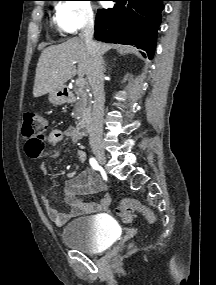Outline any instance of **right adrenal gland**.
<instances>
[{
    "label": "right adrenal gland",
    "mask_w": 216,
    "mask_h": 285,
    "mask_svg": "<svg viewBox=\"0 0 216 285\" xmlns=\"http://www.w3.org/2000/svg\"><path fill=\"white\" fill-rule=\"evenodd\" d=\"M104 70H106V64L105 61L103 62Z\"/></svg>",
    "instance_id": "1"
}]
</instances>
